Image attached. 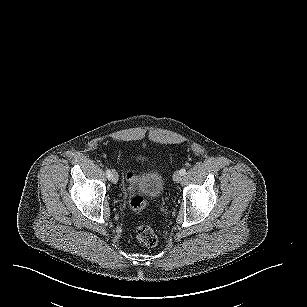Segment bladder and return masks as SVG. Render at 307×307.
Instances as JSON below:
<instances>
[{"label":"bladder","instance_id":"31cf9c89","mask_svg":"<svg viewBox=\"0 0 307 307\" xmlns=\"http://www.w3.org/2000/svg\"><path fill=\"white\" fill-rule=\"evenodd\" d=\"M135 185L144 192L148 199H155L160 196L165 180L160 174L151 172L140 174Z\"/></svg>","mask_w":307,"mask_h":307}]
</instances>
